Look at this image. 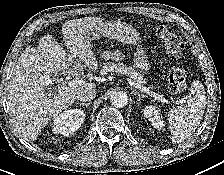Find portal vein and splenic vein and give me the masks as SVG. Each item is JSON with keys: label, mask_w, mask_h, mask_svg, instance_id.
<instances>
[{"label": "portal vein and splenic vein", "mask_w": 224, "mask_h": 175, "mask_svg": "<svg viewBox=\"0 0 224 175\" xmlns=\"http://www.w3.org/2000/svg\"><path fill=\"white\" fill-rule=\"evenodd\" d=\"M127 81L130 85H133L135 86L136 88H138L139 90H141L142 92H145L147 93L148 95L154 97L155 99H158L159 101L163 102V103H166V104H169L171 103V101H169L168 99H166L165 97L153 92V91H150L148 88L146 87H143L137 83H135L134 81H132L130 78H127ZM85 81L80 79H75V80H72L68 83L69 86H78V85H82ZM183 99L179 100V101H175V103L177 104H181L183 103Z\"/></svg>", "instance_id": "1"}]
</instances>
